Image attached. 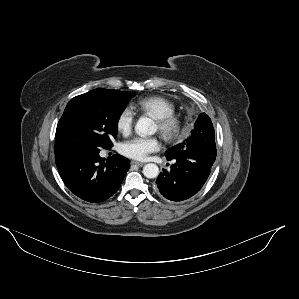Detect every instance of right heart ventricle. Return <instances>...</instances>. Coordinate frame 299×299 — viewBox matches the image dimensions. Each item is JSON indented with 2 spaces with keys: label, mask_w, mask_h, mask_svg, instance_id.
<instances>
[{
  "label": "right heart ventricle",
  "mask_w": 299,
  "mask_h": 299,
  "mask_svg": "<svg viewBox=\"0 0 299 299\" xmlns=\"http://www.w3.org/2000/svg\"><path fill=\"white\" fill-rule=\"evenodd\" d=\"M133 108L158 119L174 114L176 107L170 99L153 95L139 99L133 104Z\"/></svg>",
  "instance_id": "e07e8e85"
}]
</instances>
